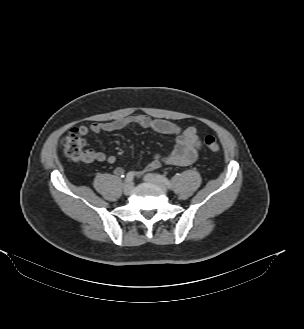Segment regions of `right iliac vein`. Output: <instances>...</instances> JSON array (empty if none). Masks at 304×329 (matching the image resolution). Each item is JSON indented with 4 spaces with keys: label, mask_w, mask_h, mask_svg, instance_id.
Instances as JSON below:
<instances>
[{
    "label": "right iliac vein",
    "mask_w": 304,
    "mask_h": 329,
    "mask_svg": "<svg viewBox=\"0 0 304 329\" xmlns=\"http://www.w3.org/2000/svg\"><path fill=\"white\" fill-rule=\"evenodd\" d=\"M132 189H133V183L132 182L126 183L123 187L124 194L125 195L130 194Z\"/></svg>",
    "instance_id": "obj_1"
}]
</instances>
